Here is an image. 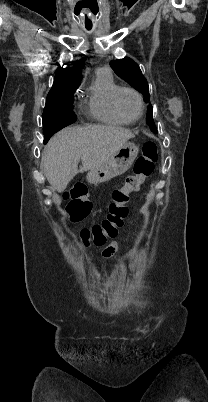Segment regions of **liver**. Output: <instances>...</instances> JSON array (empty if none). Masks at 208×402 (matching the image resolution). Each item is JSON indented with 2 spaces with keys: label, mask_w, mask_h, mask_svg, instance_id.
Returning <instances> with one entry per match:
<instances>
[{
  "label": "liver",
  "mask_w": 208,
  "mask_h": 402,
  "mask_svg": "<svg viewBox=\"0 0 208 402\" xmlns=\"http://www.w3.org/2000/svg\"><path fill=\"white\" fill-rule=\"evenodd\" d=\"M130 138V130L113 126L65 128L51 138L42 154L44 176L57 192H64L79 172L101 166ZM82 160L81 170L78 162Z\"/></svg>",
  "instance_id": "obj_1"
}]
</instances>
